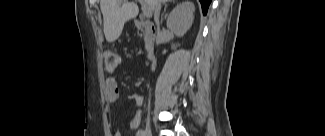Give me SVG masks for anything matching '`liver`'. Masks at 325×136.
<instances>
[{
  "instance_id": "liver-1",
  "label": "liver",
  "mask_w": 325,
  "mask_h": 136,
  "mask_svg": "<svg viewBox=\"0 0 325 136\" xmlns=\"http://www.w3.org/2000/svg\"><path fill=\"white\" fill-rule=\"evenodd\" d=\"M151 11L156 3L170 0H143ZM100 8L103 14L104 34L107 42H114L122 33L124 24L138 15V5L128 0H100Z\"/></svg>"
}]
</instances>
